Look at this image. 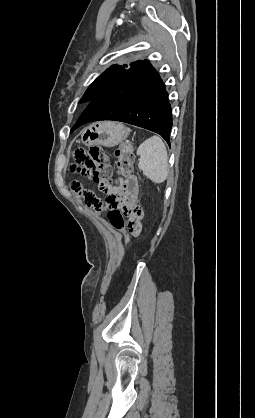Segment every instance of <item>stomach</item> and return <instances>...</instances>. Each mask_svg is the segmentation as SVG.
<instances>
[{"label": "stomach", "instance_id": "0dacf381", "mask_svg": "<svg viewBox=\"0 0 255 418\" xmlns=\"http://www.w3.org/2000/svg\"><path fill=\"white\" fill-rule=\"evenodd\" d=\"M129 132V129L121 124L100 122L86 128L82 133L81 140L86 146L112 147L126 139Z\"/></svg>", "mask_w": 255, "mask_h": 418}]
</instances>
